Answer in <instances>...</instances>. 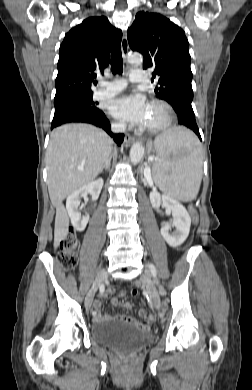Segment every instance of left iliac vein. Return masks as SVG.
<instances>
[{
	"label": "left iliac vein",
	"instance_id": "left-iliac-vein-1",
	"mask_svg": "<svg viewBox=\"0 0 252 390\" xmlns=\"http://www.w3.org/2000/svg\"><path fill=\"white\" fill-rule=\"evenodd\" d=\"M140 279H141L142 283L145 285V287L149 293V296L152 300L153 306L156 309H159L161 306V303H160L158 289L156 287L157 282L151 278V275L148 271H146L145 274L142 275ZM159 288L162 290V287L160 285H159Z\"/></svg>",
	"mask_w": 252,
	"mask_h": 390
}]
</instances>
